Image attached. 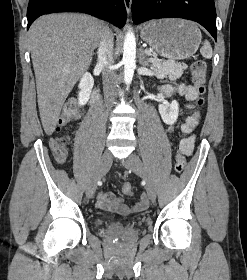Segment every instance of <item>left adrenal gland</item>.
Masks as SVG:
<instances>
[{
  "instance_id": "1",
  "label": "left adrenal gland",
  "mask_w": 247,
  "mask_h": 280,
  "mask_svg": "<svg viewBox=\"0 0 247 280\" xmlns=\"http://www.w3.org/2000/svg\"><path fill=\"white\" fill-rule=\"evenodd\" d=\"M139 63H140L142 66H148V65H149L148 61L145 59L143 49H141V53H140V57H139Z\"/></svg>"
}]
</instances>
